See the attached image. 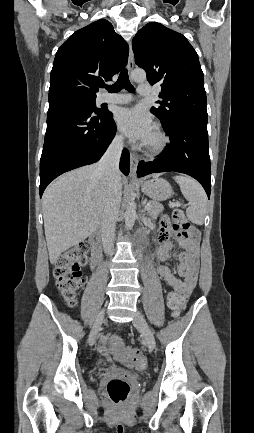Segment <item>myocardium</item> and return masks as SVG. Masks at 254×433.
Here are the masks:
<instances>
[{
  "mask_svg": "<svg viewBox=\"0 0 254 433\" xmlns=\"http://www.w3.org/2000/svg\"><path fill=\"white\" fill-rule=\"evenodd\" d=\"M153 134L156 137V142L153 144L144 143L145 151L150 155H158L165 150L169 143V138L165 132L160 128L156 127Z\"/></svg>",
  "mask_w": 254,
  "mask_h": 433,
  "instance_id": "myocardium-1",
  "label": "myocardium"
}]
</instances>
